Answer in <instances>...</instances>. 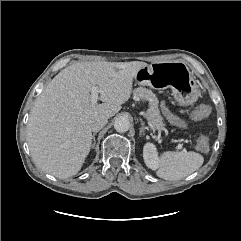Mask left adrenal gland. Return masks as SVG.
Here are the masks:
<instances>
[{"label":"left adrenal gland","instance_id":"a2214340","mask_svg":"<svg viewBox=\"0 0 241 241\" xmlns=\"http://www.w3.org/2000/svg\"><path fill=\"white\" fill-rule=\"evenodd\" d=\"M141 125L142 127L140 128V133L139 135H144V131L147 129V127H145L144 121L142 119H140Z\"/></svg>","mask_w":241,"mask_h":241}]
</instances>
